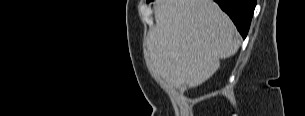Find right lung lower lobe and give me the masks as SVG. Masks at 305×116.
<instances>
[{
  "instance_id": "obj_1",
  "label": "right lung lower lobe",
  "mask_w": 305,
  "mask_h": 116,
  "mask_svg": "<svg viewBox=\"0 0 305 116\" xmlns=\"http://www.w3.org/2000/svg\"><path fill=\"white\" fill-rule=\"evenodd\" d=\"M214 1L230 16L242 37L246 38L256 6V0Z\"/></svg>"
}]
</instances>
